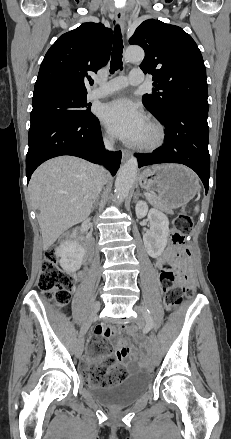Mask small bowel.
I'll list each match as a JSON object with an SVG mask.
<instances>
[{"instance_id":"c3829d8e","label":"small bowel","mask_w":231,"mask_h":439,"mask_svg":"<svg viewBox=\"0 0 231 439\" xmlns=\"http://www.w3.org/2000/svg\"><path fill=\"white\" fill-rule=\"evenodd\" d=\"M176 256V251L174 248H169L165 256L158 260L157 265H161L164 262H174ZM118 331L114 328H105L103 326H98L96 328V336L107 337L110 340H116L118 337ZM106 357H101L98 359L87 356L85 364L87 368H95L100 366V364L106 360ZM113 365H125L130 371H136L138 366L135 361V355L132 348L125 344H116L114 354L109 357Z\"/></svg>"}]
</instances>
